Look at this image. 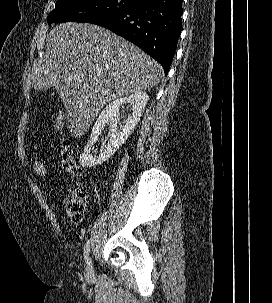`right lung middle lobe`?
Instances as JSON below:
<instances>
[{"mask_svg": "<svg viewBox=\"0 0 272 303\" xmlns=\"http://www.w3.org/2000/svg\"><path fill=\"white\" fill-rule=\"evenodd\" d=\"M135 0H57L55 9L48 15L53 22L92 23L130 8Z\"/></svg>", "mask_w": 272, "mask_h": 303, "instance_id": "dd1d6c3e", "label": "right lung middle lobe"}]
</instances>
